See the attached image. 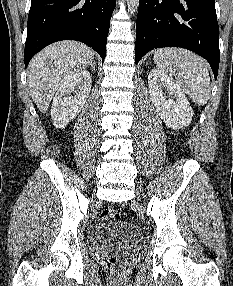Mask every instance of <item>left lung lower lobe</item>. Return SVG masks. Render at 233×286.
Returning a JSON list of instances; mask_svg holds the SVG:
<instances>
[{"instance_id": "obj_1", "label": "left lung lower lobe", "mask_w": 233, "mask_h": 286, "mask_svg": "<svg viewBox=\"0 0 233 286\" xmlns=\"http://www.w3.org/2000/svg\"><path fill=\"white\" fill-rule=\"evenodd\" d=\"M182 47L205 58L218 74L219 26L215 0H140L135 63L149 51Z\"/></svg>"}]
</instances>
